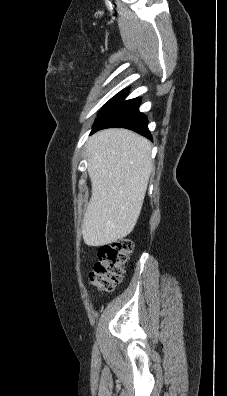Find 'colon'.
<instances>
[{"label":"colon","instance_id":"colon-1","mask_svg":"<svg viewBox=\"0 0 227 396\" xmlns=\"http://www.w3.org/2000/svg\"><path fill=\"white\" fill-rule=\"evenodd\" d=\"M132 250L133 242L126 238L101 246L89 274L91 283L101 291H112L123 279V267Z\"/></svg>","mask_w":227,"mask_h":396}]
</instances>
